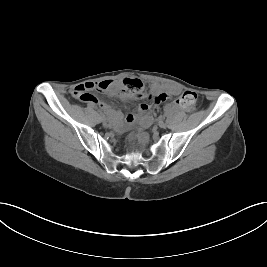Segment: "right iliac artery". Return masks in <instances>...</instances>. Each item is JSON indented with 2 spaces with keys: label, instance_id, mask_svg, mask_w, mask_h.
<instances>
[{
  "label": "right iliac artery",
  "instance_id": "1",
  "mask_svg": "<svg viewBox=\"0 0 267 267\" xmlns=\"http://www.w3.org/2000/svg\"><path fill=\"white\" fill-rule=\"evenodd\" d=\"M98 114L102 117L105 116L104 113L101 110H98Z\"/></svg>",
  "mask_w": 267,
  "mask_h": 267
}]
</instances>
